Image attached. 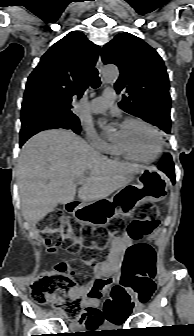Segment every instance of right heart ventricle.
I'll use <instances>...</instances> for the list:
<instances>
[{
    "instance_id": "e07e8e85",
    "label": "right heart ventricle",
    "mask_w": 194,
    "mask_h": 336,
    "mask_svg": "<svg viewBox=\"0 0 194 336\" xmlns=\"http://www.w3.org/2000/svg\"><path fill=\"white\" fill-rule=\"evenodd\" d=\"M107 153L117 157L124 156L115 145H110V149Z\"/></svg>"
}]
</instances>
